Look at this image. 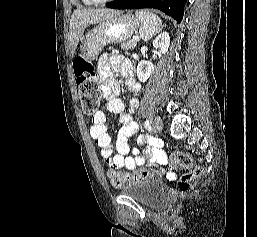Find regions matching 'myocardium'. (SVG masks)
I'll return each instance as SVG.
<instances>
[{"instance_id":"1","label":"myocardium","mask_w":257,"mask_h":237,"mask_svg":"<svg viewBox=\"0 0 257 237\" xmlns=\"http://www.w3.org/2000/svg\"><path fill=\"white\" fill-rule=\"evenodd\" d=\"M92 4H106L115 0H90Z\"/></svg>"}]
</instances>
